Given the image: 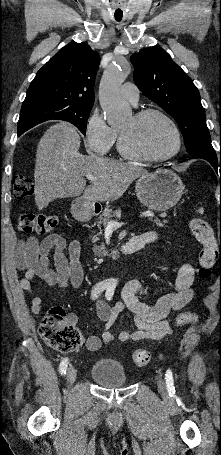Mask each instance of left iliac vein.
Masks as SVG:
<instances>
[{
  "label": "left iliac vein",
  "mask_w": 221,
  "mask_h": 455,
  "mask_svg": "<svg viewBox=\"0 0 221 455\" xmlns=\"http://www.w3.org/2000/svg\"><path fill=\"white\" fill-rule=\"evenodd\" d=\"M157 386H158V390L160 392H165L166 386H165V382H164V380L162 378H159L157 380Z\"/></svg>",
  "instance_id": "obj_1"
}]
</instances>
